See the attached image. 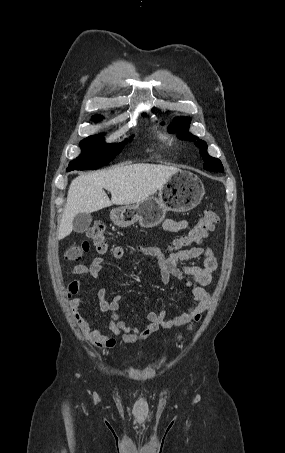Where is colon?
I'll return each instance as SVG.
<instances>
[{
  "instance_id": "colon-1",
  "label": "colon",
  "mask_w": 285,
  "mask_h": 453,
  "mask_svg": "<svg viewBox=\"0 0 285 453\" xmlns=\"http://www.w3.org/2000/svg\"><path fill=\"white\" fill-rule=\"evenodd\" d=\"M217 222V213L213 209H206L204 214L190 229V231L186 235L174 241L171 246L172 250L175 252L189 251L195 248L196 245L202 244L208 234L214 229ZM86 234L98 253H105L108 251L106 231L102 223H93L87 230ZM89 248L90 243L86 240L79 244H74L67 250L66 258L71 261H77L89 250ZM118 251L119 249H115L114 254ZM179 341L183 342V337L180 336Z\"/></svg>"
}]
</instances>
